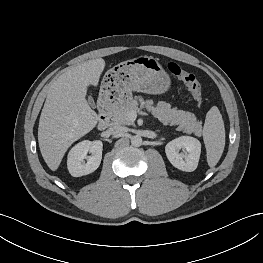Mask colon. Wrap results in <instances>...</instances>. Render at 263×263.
<instances>
[{"mask_svg":"<svg viewBox=\"0 0 263 263\" xmlns=\"http://www.w3.org/2000/svg\"><path fill=\"white\" fill-rule=\"evenodd\" d=\"M168 70L174 77L182 81L187 86L198 102L202 101L203 93L201 85L192 73L186 71L175 62H170L168 64Z\"/></svg>","mask_w":263,"mask_h":263,"instance_id":"5ec220e1","label":"colon"}]
</instances>
